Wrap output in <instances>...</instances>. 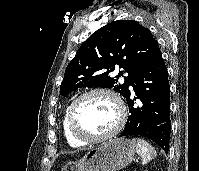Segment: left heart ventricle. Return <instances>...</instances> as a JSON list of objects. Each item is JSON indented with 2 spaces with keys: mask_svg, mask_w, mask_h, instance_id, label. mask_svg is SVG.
<instances>
[{
  "mask_svg": "<svg viewBox=\"0 0 199 171\" xmlns=\"http://www.w3.org/2000/svg\"><path fill=\"white\" fill-rule=\"evenodd\" d=\"M118 108L103 94L91 95L78 106L76 124L87 135L99 136L111 131L118 122Z\"/></svg>",
  "mask_w": 199,
  "mask_h": 171,
  "instance_id": "b2bd125f",
  "label": "left heart ventricle"
}]
</instances>
